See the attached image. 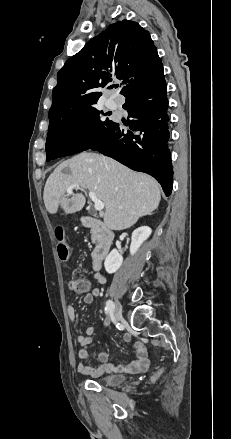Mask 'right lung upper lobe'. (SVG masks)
<instances>
[{
    "instance_id": "obj_1",
    "label": "right lung upper lobe",
    "mask_w": 231,
    "mask_h": 439,
    "mask_svg": "<svg viewBox=\"0 0 231 439\" xmlns=\"http://www.w3.org/2000/svg\"><path fill=\"white\" fill-rule=\"evenodd\" d=\"M162 76L163 65L148 31L129 20L111 24L59 70L49 120L95 107L102 95L97 89L115 78L122 81L120 94L127 97Z\"/></svg>"
}]
</instances>
